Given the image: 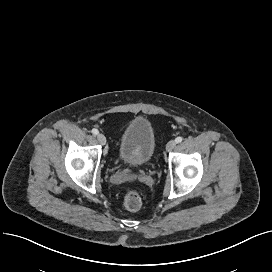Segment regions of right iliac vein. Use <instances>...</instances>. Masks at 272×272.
<instances>
[{
  "mask_svg": "<svg viewBox=\"0 0 272 272\" xmlns=\"http://www.w3.org/2000/svg\"><path fill=\"white\" fill-rule=\"evenodd\" d=\"M97 139L100 144H102V145L106 144V137L103 134H101V133L97 134Z\"/></svg>",
  "mask_w": 272,
  "mask_h": 272,
  "instance_id": "obj_1",
  "label": "right iliac vein"
}]
</instances>
